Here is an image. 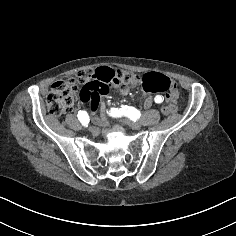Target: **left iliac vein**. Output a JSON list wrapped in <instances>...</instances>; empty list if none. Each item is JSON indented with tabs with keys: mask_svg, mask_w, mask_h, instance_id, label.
<instances>
[{
	"mask_svg": "<svg viewBox=\"0 0 236 236\" xmlns=\"http://www.w3.org/2000/svg\"><path fill=\"white\" fill-rule=\"evenodd\" d=\"M131 128H132V130H134V131L139 130V128H140V123H139V122H133V123L131 124Z\"/></svg>",
	"mask_w": 236,
	"mask_h": 236,
	"instance_id": "4c4485c4",
	"label": "left iliac vein"
}]
</instances>
